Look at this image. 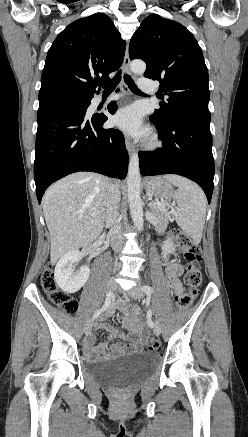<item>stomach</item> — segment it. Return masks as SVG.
I'll return each instance as SVG.
<instances>
[{
    "mask_svg": "<svg viewBox=\"0 0 248 437\" xmlns=\"http://www.w3.org/2000/svg\"><path fill=\"white\" fill-rule=\"evenodd\" d=\"M145 189L149 196L163 202L170 200L173 193L170 183L161 176L147 178L145 180Z\"/></svg>",
    "mask_w": 248,
    "mask_h": 437,
    "instance_id": "0dacf381",
    "label": "stomach"
}]
</instances>
